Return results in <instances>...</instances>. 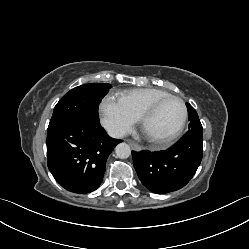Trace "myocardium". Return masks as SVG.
<instances>
[{
  "instance_id": "myocardium-1",
  "label": "myocardium",
  "mask_w": 249,
  "mask_h": 249,
  "mask_svg": "<svg viewBox=\"0 0 249 249\" xmlns=\"http://www.w3.org/2000/svg\"><path fill=\"white\" fill-rule=\"evenodd\" d=\"M178 100L183 107V118L182 121L180 123V125L178 126V128L169 136H166L164 138H149V140L154 143L157 147L160 148H165L169 145H171L183 132L185 125L187 123L188 120V107L186 102L179 96L176 95H168L165 97H162L158 100H156L155 102H153L151 105H149L140 115L139 120H140V125L141 128H143L145 122L158 110V108L167 100Z\"/></svg>"
}]
</instances>
